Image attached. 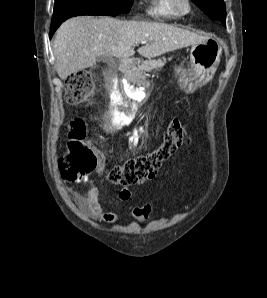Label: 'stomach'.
<instances>
[{
    "label": "stomach",
    "mask_w": 267,
    "mask_h": 298,
    "mask_svg": "<svg viewBox=\"0 0 267 298\" xmlns=\"http://www.w3.org/2000/svg\"><path fill=\"white\" fill-rule=\"evenodd\" d=\"M222 45L216 38H208L203 43L192 45L190 50V66L179 67L175 74L180 88L193 93L197 87L209 82L220 62Z\"/></svg>",
    "instance_id": "obj_1"
}]
</instances>
